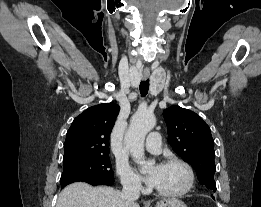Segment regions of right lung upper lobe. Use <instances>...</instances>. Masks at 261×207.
Segmentation results:
<instances>
[{"label": "right lung upper lobe", "instance_id": "cb5924a9", "mask_svg": "<svg viewBox=\"0 0 261 207\" xmlns=\"http://www.w3.org/2000/svg\"><path fill=\"white\" fill-rule=\"evenodd\" d=\"M119 110L115 103H104L78 115L67 131L63 161L109 155V136Z\"/></svg>", "mask_w": 261, "mask_h": 207}]
</instances>
